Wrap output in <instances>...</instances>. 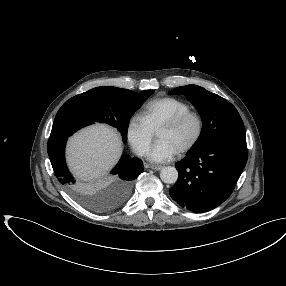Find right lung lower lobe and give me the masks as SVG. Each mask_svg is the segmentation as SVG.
I'll list each match as a JSON object with an SVG mask.
<instances>
[{
    "mask_svg": "<svg viewBox=\"0 0 286 286\" xmlns=\"http://www.w3.org/2000/svg\"><path fill=\"white\" fill-rule=\"evenodd\" d=\"M73 134L71 131L60 128L57 124L53 123L52 131L48 141V155L58 181L72 194L79 196L86 192L88 189L77 182L69 172L64 157V149L68 136ZM144 170L142 161L138 158H131L127 155H122L120 161L111 171L114 175V182L108 192L113 191L114 194L111 200L106 201L108 209H111V204L116 199L119 187L124 188V195H127L132 187V181L135 180L139 174ZM123 201L117 203L121 204ZM116 205V206H117Z\"/></svg>",
    "mask_w": 286,
    "mask_h": 286,
    "instance_id": "right-lung-lower-lobe-1",
    "label": "right lung lower lobe"
}]
</instances>
